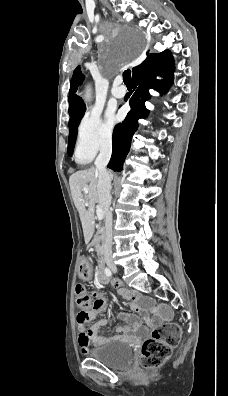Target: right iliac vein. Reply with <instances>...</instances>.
<instances>
[{
    "instance_id": "obj_1",
    "label": "right iliac vein",
    "mask_w": 228,
    "mask_h": 396,
    "mask_svg": "<svg viewBox=\"0 0 228 396\" xmlns=\"http://www.w3.org/2000/svg\"><path fill=\"white\" fill-rule=\"evenodd\" d=\"M107 264H108V267H109L113 272H117V271H118L117 266H116V264H115L113 261H109Z\"/></svg>"
}]
</instances>
